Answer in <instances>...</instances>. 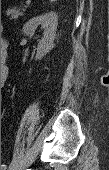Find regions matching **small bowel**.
Instances as JSON below:
<instances>
[{"label":"small bowel","instance_id":"c3829d8e","mask_svg":"<svg viewBox=\"0 0 109 170\" xmlns=\"http://www.w3.org/2000/svg\"><path fill=\"white\" fill-rule=\"evenodd\" d=\"M1 46H2L3 48L6 47V42H5L4 40L1 41ZM6 77H7V70L4 69V70L2 71V73H1V81H2V82L5 81V80H6Z\"/></svg>","mask_w":109,"mask_h":170}]
</instances>
